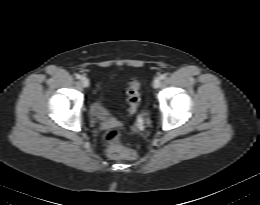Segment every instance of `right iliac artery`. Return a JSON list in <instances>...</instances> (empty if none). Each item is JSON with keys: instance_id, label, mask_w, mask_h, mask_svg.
<instances>
[{"instance_id": "1", "label": "right iliac artery", "mask_w": 260, "mask_h": 205, "mask_svg": "<svg viewBox=\"0 0 260 205\" xmlns=\"http://www.w3.org/2000/svg\"><path fill=\"white\" fill-rule=\"evenodd\" d=\"M75 77H76L77 79H81V75H80V74H76Z\"/></svg>"}]
</instances>
